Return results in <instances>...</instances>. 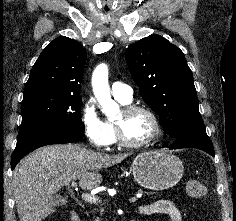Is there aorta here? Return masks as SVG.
<instances>
[{"label": "aorta", "mask_w": 236, "mask_h": 221, "mask_svg": "<svg viewBox=\"0 0 236 221\" xmlns=\"http://www.w3.org/2000/svg\"><path fill=\"white\" fill-rule=\"evenodd\" d=\"M96 98L102 108V112L111 118L120 116L119 105L112 100L108 85L107 70L102 82L94 88Z\"/></svg>", "instance_id": "762f6f07"}]
</instances>
